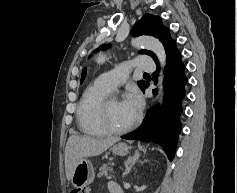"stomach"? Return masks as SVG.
Instances as JSON below:
<instances>
[{"mask_svg": "<svg viewBox=\"0 0 237 193\" xmlns=\"http://www.w3.org/2000/svg\"><path fill=\"white\" fill-rule=\"evenodd\" d=\"M130 149L131 147L127 144L118 142L112 146L111 151L118 156H126ZM94 177L95 172L93 165L89 160L83 159L76 164L71 182L73 186L82 188L90 185Z\"/></svg>", "mask_w": 237, "mask_h": 193, "instance_id": "1", "label": "stomach"}]
</instances>
